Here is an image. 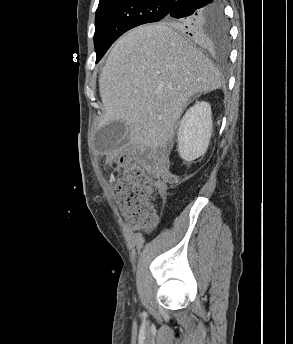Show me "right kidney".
<instances>
[{
	"label": "right kidney",
	"mask_w": 293,
	"mask_h": 344,
	"mask_svg": "<svg viewBox=\"0 0 293 344\" xmlns=\"http://www.w3.org/2000/svg\"><path fill=\"white\" fill-rule=\"evenodd\" d=\"M212 134L211 106L205 101L196 102L180 121L177 133L178 152L188 162L204 155Z\"/></svg>",
	"instance_id": "obj_1"
}]
</instances>
